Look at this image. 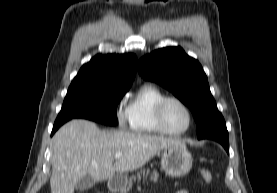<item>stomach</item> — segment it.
<instances>
[{
	"mask_svg": "<svg viewBox=\"0 0 277 193\" xmlns=\"http://www.w3.org/2000/svg\"><path fill=\"white\" fill-rule=\"evenodd\" d=\"M193 158L185 145H174L165 148L161 157V166L165 173L172 177L185 176L192 168ZM128 185V177L119 175L109 180V187L116 192H123Z\"/></svg>",
	"mask_w": 277,
	"mask_h": 193,
	"instance_id": "0dacf381",
	"label": "stomach"
}]
</instances>
